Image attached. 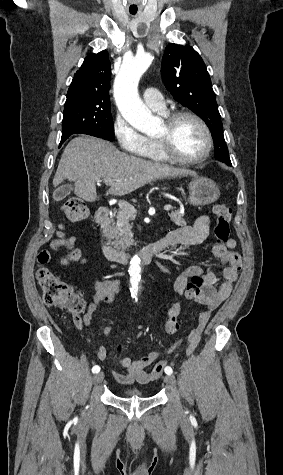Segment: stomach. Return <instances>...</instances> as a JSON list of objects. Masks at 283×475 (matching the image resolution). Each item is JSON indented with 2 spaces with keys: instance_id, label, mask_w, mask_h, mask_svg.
Segmentation results:
<instances>
[{
  "instance_id": "obj_1",
  "label": "stomach",
  "mask_w": 283,
  "mask_h": 475,
  "mask_svg": "<svg viewBox=\"0 0 283 475\" xmlns=\"http://www.w3.org/2000/svg\"><path fill=\"white\" fill-rule=\"evenodd\" d=\"M220 196V190L213 180L193 176L189 184V204L192 206H207L213 204Z\"/></svg>"
}]
</instances>
